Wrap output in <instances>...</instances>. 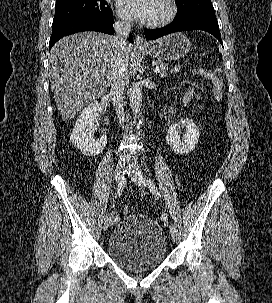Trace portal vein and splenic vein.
Masks as SVG:
<instances>
[{
    "label": "portal vein and splenic vein",
    "instance_id": "obj_1",
    "mask_svg": "<svg viewBox=\"0 0 272 303\" xmlns=\"http://www.w3.org/2000/svg\"><path fill=\"white\" fill-rule=\"evenodd\" d=\"M154 72H155V73H159V67L156 66V67L154 68Z\"/></svg>",
    "mask_w": 272,
    "mask_h": 303
}]
</instances>
